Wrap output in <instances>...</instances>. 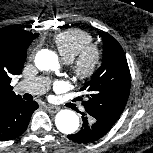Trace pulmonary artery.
Returning <instances> with one entry per match:
<instances>
[{"label": "pulmonary artery", "mask_w": 153, "mask_h": 153, "mask_svg": "<svg viewBox=\"0 0 153 153\" xmlns=\"http://www.w3.org/2000/svg\"><path fill=\"white\" fill-rule=\"evenodd\" d=\"M49 87V80L45 77H35L21 81L17 88L20 91L33 95H40L46 92Z\"/></svg>", "instance_id": "e3ab8cb5"}]
</instances>
